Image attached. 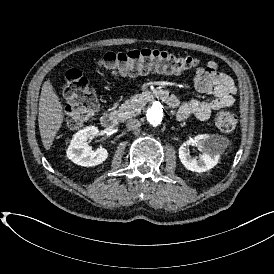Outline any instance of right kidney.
<instances>
[{
	"label": "right kidney",
	"mask_w": 274,
	"mask_h": 274,
	"mask_svg": "<svg viewBox=\"0 0 274 274\" xmlns=\"http://www.w3.org/2000/svg\"><path fill=\"white\" fill-rule=\"evenodd\" d=\"M99 134L96 126H87L73 135V138L66 151L67 157L75 164L91 167L96 166L108 157V152L105 148L92 150L88 145V139H92Z\"/></svg>",
	"instance_id": "1"
}]
</instances>
